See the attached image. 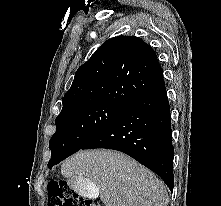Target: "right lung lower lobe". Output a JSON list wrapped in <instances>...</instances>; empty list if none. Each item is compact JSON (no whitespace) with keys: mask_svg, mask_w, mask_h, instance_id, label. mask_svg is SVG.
Masks as SVG:
<instances>
[{"mask_svg":"<svg viewBox=\"0 0 221 206\" xmlns=\"http://www.w3.org/2000/svg\"><path fill=\"white\" fill-rule=\"evenodd\" d=\"M94 148L126 153L158 174L172 192L174 148L164 80L134 98L82 147Z\"/></svg>","mask_w":221,"mask_h":206,"instance_id":"98d812e1","label":"right lung lower lobe"}]
</instances>
